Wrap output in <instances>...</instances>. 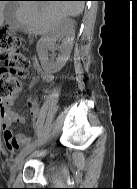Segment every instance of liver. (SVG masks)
I'll return each mask as SVG.
<instances>
[{"label":"liver","instance_id":"liver-1","mask_svg":"<svg viewBox=\"0 0 137 189\" xmlns=\"http://www.w3.org/2000/svg\"><path fill=\"white\" fill-rule=\"evenodd\" d=\"M7 3L0 1V27L4 23V8ZM15 18L24 32L45 35L66 17H76L83 12L84 1H19Z\"/></svg>","mask_w":137,"mask_h":189}]
</instances>
